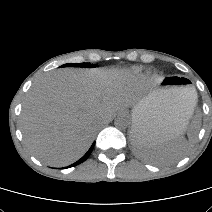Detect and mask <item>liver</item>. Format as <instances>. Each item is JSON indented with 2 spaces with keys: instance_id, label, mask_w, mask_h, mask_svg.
Masks as SVG:
<instances>
[{
  "instance_id": "obj_1",
  "label": "liver",
  "mask_w": 212,
  "mask_h": 212,
  "mask_svg": "<svg viewBox=\"0 0 212 212\" xmlns=\"http://www.w3.org/2000/svg\"><path fill=\"white\" fill-rule=\"evenodd\" d=\"M138 83L116 69H62L36 80L22 106L27 149L43 163L66 166L90 147L101 122L135 105ZM185 126V111L178 104Z\"/></svg>"
}]
</instances>
